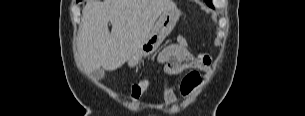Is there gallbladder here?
<instances>
[{
	"label": "gallbladder",
	"instance_id": "obj_1",
	"mask_svg": "<svg viewBox=\"0 0 305 116\" xmlns=\"http://www.w3.org/2000/svg\"><path fill=\"white\" fill-rule=\"evenodd\" d=\"M90 76L94 80H101L105 76V71H104V69L99 68L97 70L92 71L90 73Z\"/></svg>",
	"mask_w": 305,
	"mask_h": 116
}]
</instances>
